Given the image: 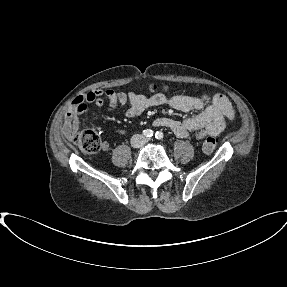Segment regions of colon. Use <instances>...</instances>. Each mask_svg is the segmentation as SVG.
Here are the masks:
<instances>
[{"label": "colon", "mask_w": 287, "mask_h": 287, "mask_svg": "<svg viewBox=\"0 0 287 287\" xmlns=\"http://www.w3.org/2000/svg\"><path fill=\"white\" fill-rule=\"evenodd\" d=\"M151 91H156V86L150 87ZM167 90V87H164ZM74 142L86 153H95L101 148V141L99 136L93 131H82L75 135ZM217 146V139L210 137L203 143V151L205 153H212Z\"/></svg>", "instance_id": "obj_1"}]
</instances>
